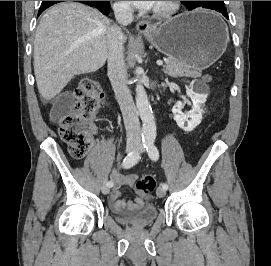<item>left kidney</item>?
<instances>
[{
    "instance_id": "left-kidney-1",
    "label": "left kidney",
    "mask_w": 271,
    "mask_h": 266,
    "mask_svg": "<svg viewBox=\"0 0 271 266\" xmlns=\"http://www.w3.org/2000/svg\"><path fill=\"white\" fill-rule=\"evenodd\" d=\"M192 101V110L188 114L182 113V103L177 102L172 112L177 125L186 132H191L201 123L202 120V105L206 102L207 94H200L189 89L187 92ZM190 118V119H188Z\"/></svg>"
}]
</instances>
